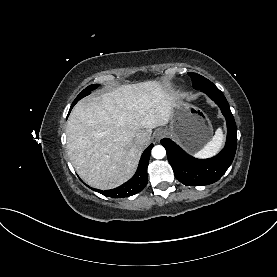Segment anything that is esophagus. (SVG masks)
Returning <instances> with one entry per match:
<instances>
[{"mask_svg":"<svg viewBox=\"0 0 277 277\" xmlns=\"http://www.w3.org/2000/svg\"><path fill=\"white\" fill-rule=\"evenodd\" d=\"M166 135V131L163 129H158L155 133L154 136L156 139H161L162 137H164Z\"/></svg>","mask_w":277,"mask_h":277,"instance_id":"1","label":"esophagus"}]
</instances>
